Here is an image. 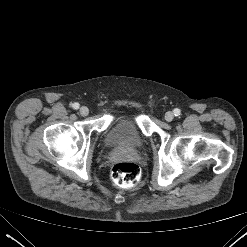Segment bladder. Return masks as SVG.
Instances as JSON below:
<instances>
[{
    "label": "bladder",
    "instance_id": "1",
    "mask_svg": "<svg viewBox=\"0 0 247 247\" xmlns=\"http://www.w3.org/2000/svg\"><path fill=\"white\" fill-rule=\"evenodd\" d=\"M105 144L118 149H140L145 144L144 136L129 118L116 120L105 135Z\"/></svg>",
    "mask_w": 247,
    "mask_h": 247
}]
</instances>
